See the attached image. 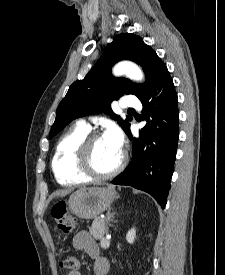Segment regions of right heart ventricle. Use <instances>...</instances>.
I'll list each match as a JSON object with an SVG mask.
<instances>
[{"label":"right heart ventricle","mask_w":225,"mask_h":275,"mask_svg":"<svg viewBox=\"0 0 225 275\" xmlns=\"http://www.w3.org/2000/svg\"><path fill=\"white\" fill-rule=\"evenodd\" d=\"M88 133L89 128L77 124L59 139L52 158V170L60 184L75 185L89 180L75 165L77 146Z\"/></svg>","instance_id":"1"}]
</instances>
